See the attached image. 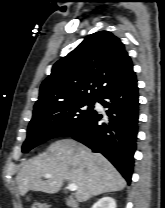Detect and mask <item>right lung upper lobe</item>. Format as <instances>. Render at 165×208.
<instances>
[{
  "label": "right lung upper lobe",
  "instance_id": "1",
  "mask_svg": "<svg viewBox=\"0 0 165 208\" xmlns=\"http://www.w3.org/2000/svg\"><path fill=\"white\" fill-rule=\"evenodd\" d=\"M133 65L120 39L108 31L87 36L57 61L40 87L34 111L72 100H97L124 82Z\"/></svg>",
  "mask_w": 165,
  "mask_h": 208
}]
</instances>
